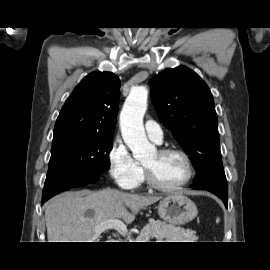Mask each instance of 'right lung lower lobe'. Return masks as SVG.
<instances>
[{
	"label": "right lung lower lobe",
	"instance_id": "98d812e1",
	"mask_svg": "<svg viewBox=\"0 0 270 270\" xmlns=\"http://www.w3.org/2000/svg\"><path fill=\"white\" fill-rule=\"evenodd\" d=\"M98 178L99 176L94 178L76 177L74 174H71L70 172H63L61 174L47 177L43 189L41 204L43 205L51 197L62 191L68 190L71 187L84 186L88 183L96 182ZM55 186L60 187V190H58L57 192L50 193L49 190H51Z\"/></svg>",
	"mask_w": 270,
	"mask_h": 270
}]
</instances>
